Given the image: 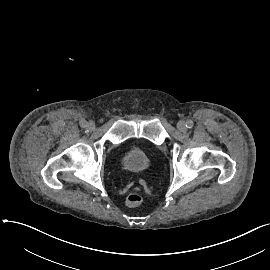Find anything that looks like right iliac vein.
<instances>
[{"label": "right iliac vein", "instance_id": "right-iliac-vein-1", "mask_svg": "<svg viewBox=\"0 0 270 270\" xmlns=\"http://www.w3.org/2000/svg\"><path fill=\"white\" fill-rule=\"evenodd\" d=\"M87 128H88V130H90V131H93L94 129H95V123L94 122H89L88 124H87Z\"/></svg>", "mask_w": 270, "mask_h": 270}]
</instances>
